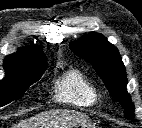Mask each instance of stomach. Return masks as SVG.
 <instances>
[{"label":"stomach","mask_w":142,"mask_h":128,"mask_svg":"<svg viewBox=\"0 0 142 128\" xmlns=\"http://www.w3.org/2000/svg\"><path fill=\"white\" fill-rule=\"evenodd\" d=\"M74 128H96L95 125L89 120L78 123L74 126Z\"/></svg>","instance_id":"1"}]
</instances>
